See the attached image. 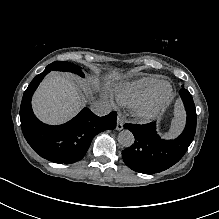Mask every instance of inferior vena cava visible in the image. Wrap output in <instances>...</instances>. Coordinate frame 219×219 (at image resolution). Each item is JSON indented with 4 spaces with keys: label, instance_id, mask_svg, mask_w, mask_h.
Here are the masks:
<instances>
[{
    "label": "inferior vena cava",
    "instance_id": "inferior-vena-cava-1",
    "mask_svg": "<svg viewBox=\"0 0 219 219\" xmlns=\"http://www.w3.org/2000/svg\"><path fill=\"white\" fill-rule=\"evenodd\" d=\"M90 109L96 115L104 116L111 111V106L110 103H108L106 100L101 99L93 102L90 106Z\"/></svg>",
    "mask_w": 219,
    "mask_h": 219
}]
</instances>
